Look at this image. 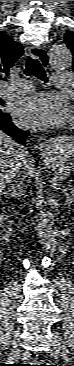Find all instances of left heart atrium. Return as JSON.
I'll use <instances>...</instances> for the list:
<instances>
[{
    "instance_id": "39dd6f15",
    "label": "left heart atrium",
    "mask_w": 74,
    "mask_h": 366,
    "mask_svg": "<svg viewBox=\"0 0 74 366\" xmlns=\"http://www.w3.org/2000/svg\"><path fill=\"white\" fill-rule=\"evenodd\" d=\"M15 121L24 127L46 129L63 124L66 107L51 93H38L19 100L13 107Z\"/></svg>"
}]
</instances>
